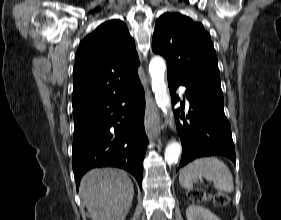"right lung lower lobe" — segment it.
<instances>
[{
    "instance_id": "right-lung-lower-lobe-1",
    "label": "right lung lower lobe",
    "mask_w": 281,
    "mask_h": 220,
    "mask_svg": "<svg viewBox=\"0 0 281 220\" xmlns=\"http://www.w3.org/2000/svg\"><path fill=\"white\" fill-rule=\"evenodd\" d=\"M144 112L145 94L138 80L122 93L73 114L72 166L77 189L88 170L108 166L129 171L142 187L148 142Z\"/></svg>"
}]
</instances>
